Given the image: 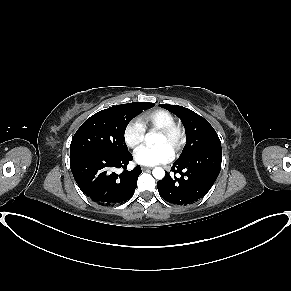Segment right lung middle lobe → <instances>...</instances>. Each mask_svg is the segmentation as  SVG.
<instances>
[{"label": "right lung middle lobe", "instance_id": "right-lung-middle-lobe-1", "mask_svg": "<svg viewBox=\"0 0 291 291\" xmlns=\"http://www.w3.org/2000/svg\"><path fill=\"white\" fill-rule=\"evenodd\" d=\"M154 103L134 102L104 109L88 118L73 136L70 156L80 153L122 154L128 152L124 140L130 120Z\"/></svg>", "mask_w": 291, "mask_h": 291}]
</instances>
